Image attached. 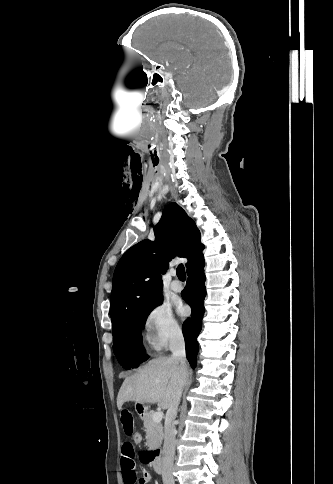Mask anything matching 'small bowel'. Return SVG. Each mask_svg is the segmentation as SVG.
<instances>
[{
	"instance_id": "1",
	"label": "small bowel",
	"mask_w": 333,
	"mask_h": 484,
	"mask_svg": "<svg viewBox=\"0 0 333 484\" xmlns=\"http://www.w3.org/2000/svg\"><path fill=\"white\" fill-rule=\"evenodd\" d=\"M120 423L123 432L127 436H132L135 433V420L133 413L123 408L120 413ZM135 452L131 442H125L122 445L121 453V470L124 484H147L151 480L150 473L142 468L140 475L136 471Z\"/></svg>"
}]
</instances>
